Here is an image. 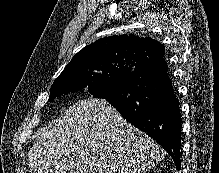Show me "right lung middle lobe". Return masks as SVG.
I'll return each mask as SVG.
<instances>
[{"label":"right lung middle lobe","instance_id":"dd1d6c3e","mask_svg":"<svg viewBox=\"0 0 219 173\" xmlns=\"http://www.w3.org/2000/svg\"><path fill=\"white\" fill-rule=\"evenodd\" d=\"M135 67L125 62L101 65L78 73L67 72L59 76L51 86L49 101L54 98L85 88L94 97L105 98L118 81Z\"/></svg>","mask_w":219,"mask_h":173}]
</instances>
